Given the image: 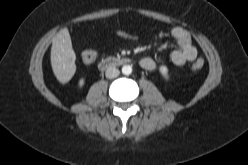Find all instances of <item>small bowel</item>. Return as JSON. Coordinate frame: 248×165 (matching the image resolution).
<instances>
[{"label": "small bowel", "mask_w": 248, "mask_h": 165, "mask_svg": "<svg viewBox=\"0 0 248 165\" xmlns=\"http://www.w3.org/2000/svg\"><path fill=\"white\" fill-rule=\"evenodd\" d=\"M115 35L123 40L136 41L137 36L131 32L118 30ZM170 36L176 41L178 48L170 55V60L175 66H182L187 62H193L197 58V50L192 43L189 33L180 27H175L170 31ZM140 65L148 71H155L159 64L151 57H143Z\"/></svg>", "instance_id": "obj_1"}]
</instances>
